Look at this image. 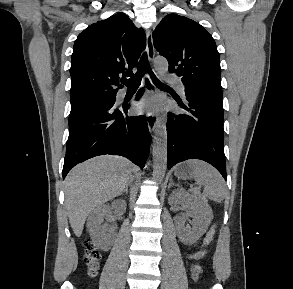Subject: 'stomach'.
<instances>
[{
    "label": "stomach",
    "instance_id": "stomach-1",
    "mask_svg": "<svg viewBox=\"0 0 293 289\" xmlns=\"http://www.w3.org/2000/svg\"><path fill=\"white\" fill-rule=\"evenodd\" d=\"M174 174L179 179H189L193 177V169L190 162H183L175 167Z\"/></svg>",
    "mask_w": 293,
    "mask_h": 289
}]
</instances>
